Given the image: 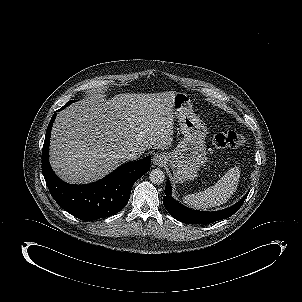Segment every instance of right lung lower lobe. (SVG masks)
Wrapping results in <instances>:
<instances>
[{
  "label": "right lung lower lobe",
  "mask_w": 302,
  "mask_h": 302,
  "mask_svg": "<svg viewBox=\"0 0 302 302\" xmlns=\"http://www.w3.org/2000/svg\"><path fill=\"white\" fill-rule=\"evenodd\" d=\"M55 118L56 113L48 125L42 151V172L54 200L65 211L85 221L109 217L122 210L129 201L133 184L150 170L151 157L124 164L94 183L67 184L55 175L49 163L50 133Z\"/></svg>",
  "instance_id": "1"
}]
</instances>
